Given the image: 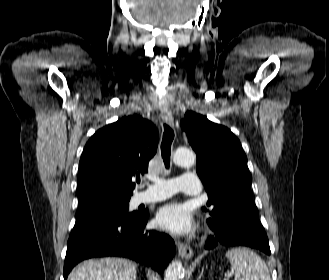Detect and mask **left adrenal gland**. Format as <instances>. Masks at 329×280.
Returning <instances> with one entry per match:
<instances>
[{"mask_svg":"<svg viewBox=\"0 0 329 280\" xmlns=\"http://www.w3.org/2000/svg\"><path fill=\"white\" fill-rule=\"evenodd\" d=\"M203 271H204V269L201 270V272H200V274H199L197 280H200V279L203 277Z\"/></svg>","mask_w":329,"mask_h":280,"instance_id":"a2214340","label":"left adrenal gland"}]
</instances>
